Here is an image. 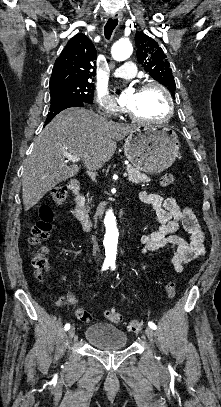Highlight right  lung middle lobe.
<instances>
[{"label":"right lung middle lobe","instance_id":"1","mask_svg":"<svg viewBox=\"0 0 221 407\" xmlns=\"http://www.w3.org/2000/svg\"><path fill=\"white\" fill-rule=\"evenodd\" d=\"M93 83L79 82L56 89H51V104L63 100H79L93 103Z\"/></svg>","mask_w":221,"mask_h":407}]
</instances>
